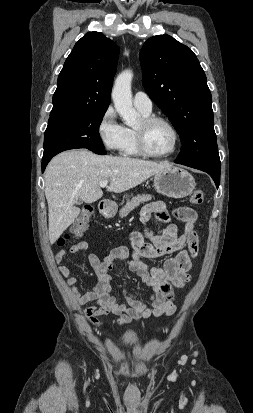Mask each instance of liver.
I'll return each instance as SVG.
<instances>
[{
	"instance_id": "obj_1",
	"label": "liver",
	"mask_w": 253,
	"mask_h": 413,
	"mask_svg": "<svg viewBox=\"0 0 253 413\" xmlns=\"http://www.w3.org/2000/svg\"><path fill=\"white\" fill-rule=\"evenodd\" d=\"M171 166L168 162L98 156L86 149L58 154L45 170L50 243L54 244L80 214L74 206L78 198L93 203L103 196L100 182H110L107 190L121 193Z\"/></svg>"
}]
</instances>
